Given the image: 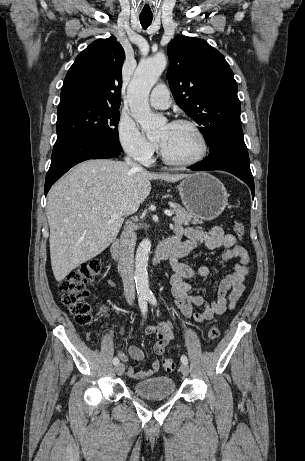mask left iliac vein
I'll use <instances>...</instances> for the list:
<instances>
[{"mask_svg": "<svg viewBox=\"0 0 305 461\" xmlns=\"http://www.w3.org/2000/svg\"><path fill=\"white\" fill-rule=\"evenodd\" d=\"M180 369L184 376H187L189 374V366L187 364H182Z\"/></svg>", "mask_w": 305, "mask_h": 461, "instance_id": "obj_1", "label": "left iliac vein"}]
</instances>
